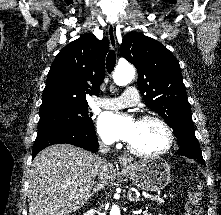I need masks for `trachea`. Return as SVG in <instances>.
Instances as JSON below:
<instances>
[{"label": "trachea", "mask_w": 221, "mask_h": 215, "mask_svg": "<svg viewBox=\"0 0 221 215\" xmlns=\"http://www.w3.org/2000/svg\"><path fill=\"white\" fill-rule=\"evenodd\" d=\"M115 64L116 54L114 50H110L106 58V69L109 74L112 73V71L114 70Z\"/></svg>", "instance_id": "obj_1"}]
</instances>
